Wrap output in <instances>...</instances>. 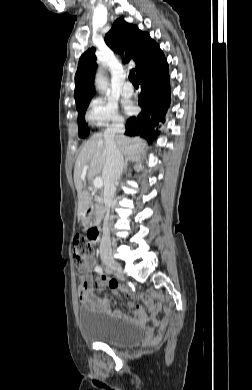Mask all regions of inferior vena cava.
<instances>
[{"instance_id": "inferior-vena-cava-1", "label": "inferior vena cava", "mask_w": 252, "mask_h": 390, "mask_svg": "<svg viewBox=\"0 0 252 390\" xmlns=\"http://www.w3.org/2000/svg\"><path fill=\"white\" fill-rule=\"evenodd\" d=\"M125 132L123 123L113 124L104 132L106 140V162L102 171L104 180V204L105 211L108 213L113 203L116 191V185L124 167V159L115 143L116 134L122 135ZM100 252H111L110 231L107 223L103 226V236L100 242Z\"/></svg>"}]
</instances>
